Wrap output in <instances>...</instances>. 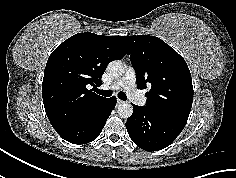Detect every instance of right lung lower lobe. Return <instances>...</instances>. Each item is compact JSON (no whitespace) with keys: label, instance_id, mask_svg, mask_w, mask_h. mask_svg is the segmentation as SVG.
<instances>
[{"label":"right lung lower lobe","instance_id":"1","mask_svg":"<svg viewBox=\"0 0 236 178\" xmlns=\"http://www.w3.org/2000/svg\"><path fill=\"white\" fill-rule=\"evenodd\" d=\"M116 105V98H108L99 110L80 125L65 129L58 134L73 144H86L95 140L101 133L108 117Z\"/></svg>","mask_w":236,"mask_h":178}]
</instances>
